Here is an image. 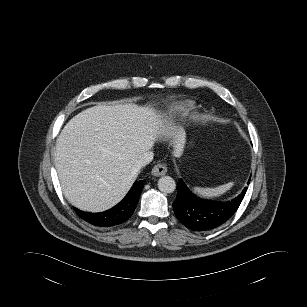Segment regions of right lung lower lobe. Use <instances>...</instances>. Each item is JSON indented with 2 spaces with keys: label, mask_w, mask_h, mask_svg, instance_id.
I'll list each match as a JSON object with an SVG mask.
<instances>
[{
  "label": "right lung lower lobe",
  "mask_w": 307,
  "mask_h": 307,
  "mask_svg": "<svg viewBox=\"0 0 307 307\" xmlns=\"http://www.w3.org/2000/svg\"><path fill=\"white\" fill-rule=\"evenodd\" d=\"M143 181H136L125 198L113 208L102 213H88L75 208L77 214L91 225L97 227H112L125 222L134 212L138 203Z\"/></svg>",
  "instance_id": "98d812e1"
}]
</instances>
